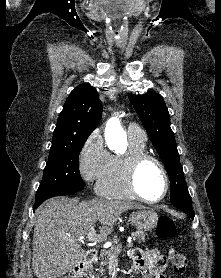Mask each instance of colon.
Segmentation results:
<instances>
[{"label": "colon", "instance_id": "obj_1", "mask_svg": "<svg viewBox=\"0 0 221 278\" xmlns=\"http://www.w3.org/2000/svg\"><path fill=\"white\" fill-rule=\"evenodd\" d=\"M156 233L160 238H173L176 236V226L174 221L168 216H161L158 220ZM172 261V272L181 275L185 272L188 259L181 252L170 251Z\"/></svg>", "mask_w": 221, "mask_h": 278}]
</instances>
